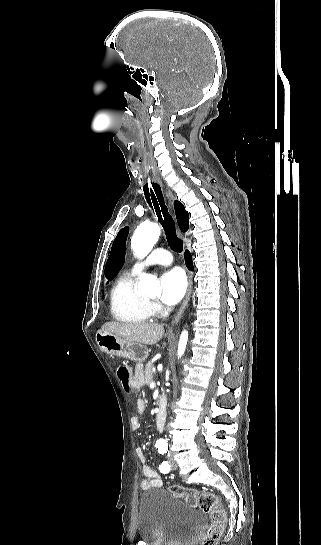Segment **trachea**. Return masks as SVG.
Masks as SVG:
<instances>
[{"mask_svg": "<svg viewBox=\"0 0 321 545\" xmlns=\"http://www.w3.org/2000/svg\"><path fill=\"white\" fill-rule=\"evenodd\" d=\"M119 110L120 112H126L129 115L132 113L129 106H122ZM146 165L148 167L144 168V173L146 175L144 176L143 183L145 198L150 207L155 210L158 221L165 231L166 239L169 246L172 248V250H174V252L180 253L183 250V241L177 237L175 222L173 220V217L170 215L168 208L165 205L161 188L158 185V176L156 174H150L151 168L149 166L151 164L149 162Z\"/></svg>", "mask_w": 321, "mask_h": 545, "instance_id": "3493384b", "label": "trachea"}]
</instances>
